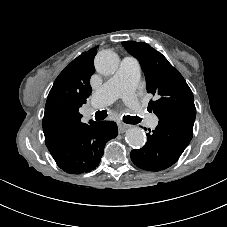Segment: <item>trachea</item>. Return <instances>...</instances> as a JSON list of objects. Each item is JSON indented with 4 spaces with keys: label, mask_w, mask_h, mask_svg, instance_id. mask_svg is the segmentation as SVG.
<instances>
[{
    "label": "trachea",
    "mask_w": 227,
    "mask_h": 227,
    "mask_svg": "<svg viewBox=\"0 0 227 227\" xmlns=\"http://www.w3.org/2000/svg\"><path fill=\"white\" fill-rule=\"evenodd\" d=\"M94 117L96 120H103L107 117V112L105 110L103 111H97L94 114ZM124 119L132 124H137L139 123L142 119L138 116H126Z\"/></svg>",
    "instance_id": "1"
}]
</instances>
